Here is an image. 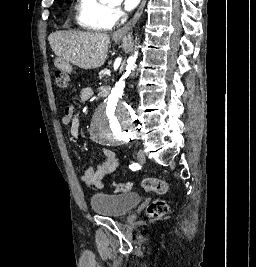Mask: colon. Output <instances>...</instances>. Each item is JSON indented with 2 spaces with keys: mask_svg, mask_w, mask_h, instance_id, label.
Wrapping results in <instances>:
<instances>
[{
  "mask_svg": "<svg viewBox=\"0 0 256 267\" xmlns=\"http://www.w3.org/2000/svg\"><path fill=\"white\" fill-rule=\"evenodd\" d=\"M55 83L57 87L65 89L70 84L69 73H62L61 69L55 71ZM142 189L145 192H168L166 183L158 178H145L141 183ZM114 188L117 192H131L133 186L128 182H118L114 184ZM168 211V205L163 200H155L147 207V212L153 216L158 217L164 215Z\"/></svg>",
  "mask_w": 256,
  "mask_h": 267,
  "instance_id": "obj_1",
  "label": "colon"
}]
</instances>
